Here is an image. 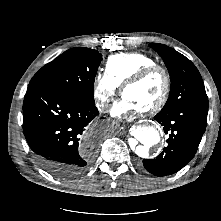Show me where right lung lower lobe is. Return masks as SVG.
Returning a JSON list of instances; mask_svg holds the SVG:
<instances>
[{
    "label": "right lung lower lobe",
    "mask_w": 221,
    "mask_h": 221,
    "mask_svg": "<svg viewBox=\"0 0 221 221\" xmlns=\"http://www.w3.org/2000/svg\"><path fill=\"white\" fill-rule=\"evenodd\" d=\"M95 104L33 87L23 102V132L38 164L60 179L82 174L92 161L97 138L82 145L81 136L98 116Z\"/></svg>",
    "instance_id": "right-lung-lower-lobe-1"
}]
</instances>
